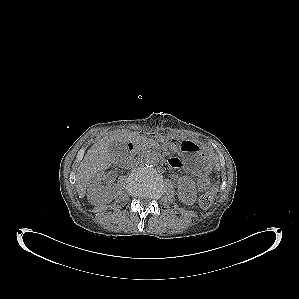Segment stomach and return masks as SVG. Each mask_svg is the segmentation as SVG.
Returning <instances> with one entry per match:
<instances>
[{"label": "stomach", "mask_w": 299, "mask_h": 299, "mask_svg": "<svg viewBox=\"0 0 299 299\" xmlns=\"http://www.w3.org/2000/svg\"><path fill=\"white\" fill-rule=\"evenodd\" d=\"M161 141L181 152L187 166L191 170L203 173L209 168L211 162L210 154L197 142L170 136L162 138Z\"/></svg>", "instance_id": "obj_1"}]
</instances>
